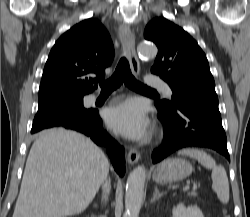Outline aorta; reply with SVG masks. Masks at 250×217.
<instances>
[{
	"label": "aorta",
	"mask_w": 250,
	"mask_h": 217,
	"mask_svg": "<svg viewBox=\"0 0 250 217\" xmlns=\"http://www.w3.org/2000/svg\"><path fill=\"white\" fill-rule=\"evenodd\" d=\"M142 58L152 59L157 55L154 44L142 43L137 48ZM146 170L144 166L136 167L128 176L125 192V217H138L143 201Z\"/></svg>",
	"instance_id": "1"
}]
</instances>
